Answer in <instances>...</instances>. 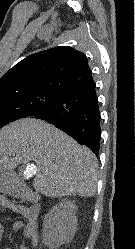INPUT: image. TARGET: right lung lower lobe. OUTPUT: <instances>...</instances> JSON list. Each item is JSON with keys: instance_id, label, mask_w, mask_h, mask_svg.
<instances>
[{"instance_id": "right-lung-lower-lobe-1", "label": "right lung lower lobe", "mask_w": 135, "mask_h": 249, "mask_svg": "<svg viewBox=\"0 0 135 249\" xmlns=\"http://www.w3.org/2000/svg\"><path fill=\"white\" fill-rule=\"evenodd\" d=\"M29 116L52 123L98 156L101 117L94 80L61 93Z\"/></svg>"}]
</instances>
